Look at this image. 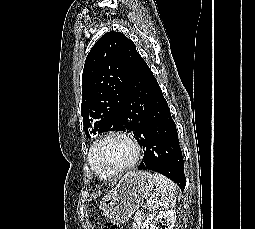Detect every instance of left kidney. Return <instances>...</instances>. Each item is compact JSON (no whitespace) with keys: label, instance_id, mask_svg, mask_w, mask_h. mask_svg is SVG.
<instances>
[{"label":"left kidney","instance_id":"5707ae66","mask_svg":"<svg viewBox=\"0 0 255 229\" xmlns=\"http://www.w3.org/2000/svg\"><path fill=\"white\" fill-rule=\"evenodd\" d=\"M164 219V229H173L176 220V211L173 209L150 214L143 223L142 229H157L156 224Z\"/></svg>","mask_w":255,"mask_h":229}]
</instances>
